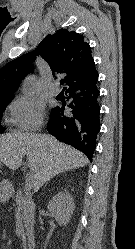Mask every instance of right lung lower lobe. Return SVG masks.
<instances>
[{
  "instance_id": "right-lung-lower-lobe-1",
  "label": "right lung lower lobe",
  "mask_w": 135,
  "mask_h": 249,
  "mask_svg": "<svg viewBox=\"0 0 135 249\" xmlns=\"http://www.w3.org/2000/svg\"><path fill=\"white\" fill-rule=\"evenodd\" d=\"M98 72L91 78L74 83L66 92L70 93L68 105L70 114L63 107L51 110L47 130L66 144L82 151L90 161L96 148V139L100 131Z\"/></svg>"
}]
</instances>
